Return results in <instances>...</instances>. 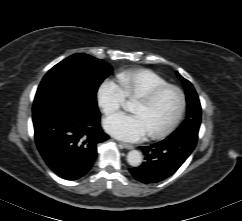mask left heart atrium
Wrapping results in <instances>:
<instances>
[{
  "mask_svg": "<svg viewBox=\"0 0 242 221\" xmlns=\"http://www.w3.org/2000/svg\"><path fill=\"white\" fill-rule=\"evenodd\" d=\"M103 127L113 137L127 142L141 140L149 133L144 119L136 114L111 115L104 119Z\"/></svg>",
  "mask_w": 242,
  "mask_h": 221,
  "instance_id": "obj_1",
  "label": "left heart atrium"
}]
</instances>
